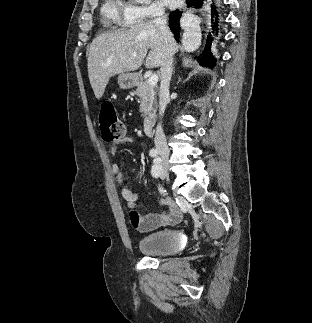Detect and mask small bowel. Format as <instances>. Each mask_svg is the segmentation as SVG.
Returning a JSON list of instances; mask_svg holds the SVG:
<instances>
[{"instance_id": "1", "label": "small bowel", "mask_w": 312, "mask_h": 323, "mask_svg": "<svg viewBox=\"0 0 312 323\" xmlns=\"http://www.w3.org/2000/svg\"><path fill=\"white\" fill-rule=\"evenodd\" d=\"M132 142L131 136H123L116 140L109 148V153L115 155L120 145ZM111 173L116 177L120 184L121 195L130 210L131 225L139 232H151L158 228L173 226L178 224L182 219V212L174 200L168 198L164 205L166 209L160 213H151L141 215L138 212L137 200L138 194L129 189L124 183V178L120 166L117 163L111 165Z\"/></svg>"}]
</instances>
